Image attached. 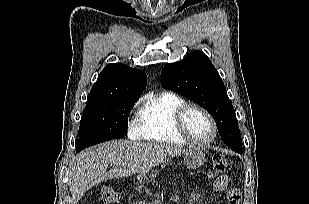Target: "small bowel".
Masks as SVG:
<instances>
[{
	"label": "small bowel",
	"mask_w": 309,
	"mask_h": 204,
	"mask_svg": "<svg viewBox=\"0 0 309 204\" xmlns=\"http://www.w3.org/2000/svg\"><path fill=\"white\" fill-rule=\"evenodd\" d=\"M229 183H230L229 177L227 175H221L215 180L213 187L214 190L217 192H224L228 201L231 204V200L233 199V197L237 196L240 198V193L235 188H229ZM190 198L193 204L200 203V196L198 194L193 193L191 194Z\"/></svg>",
	"instance_id": "small-bowel-1"
}]
</instances>
